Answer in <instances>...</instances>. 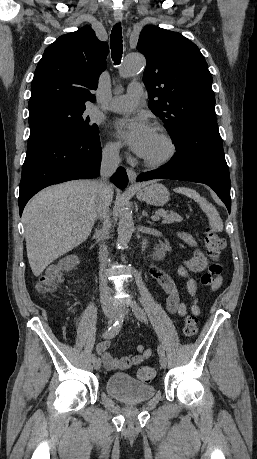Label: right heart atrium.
<instances>
[{"label":"right heart atrium","mask_w":257,"mask_h":459,"mask_svg":"<svg viewBox=\"0 0 257 459\" xmlns=\"http://www.w3.org/2000/svg\"><path fill=\"white\" fill-rule=\"evenodd\" d=\"M121 147L117 142L108 141L104 148V156L112 161H117L120 158Z\"/></svg>","instance_id":"right-heart-atrium-1"}]
</instances>
